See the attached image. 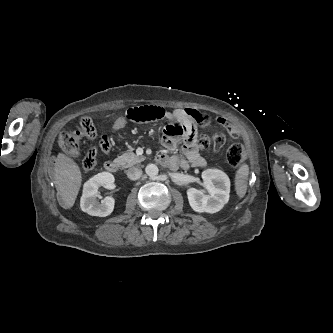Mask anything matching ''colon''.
I'll list each match as a JSON object with an SVG mask.
<instances>
[{
	"label": "colon",
	"mask_w": 333,
	"mask_h": 333,
	"mask_svg": "<svg viewBox=\"0 0 333 333\" xmlns=\"http://www.w3.org/2000/svg\"><path fill=\"white\" fill-rule=\"evenodd\" d=\"M166 116V112L159 106H132L123 112V119L126 122H149L162 119ZM194 132V129H191ZM174 133L181 134L180 127H175L171 130ZM82 136L93 139L97 136L96 126L93 121L88 117L81 118L78 128L71 132H62L59 135V144L62 149L72 155H76L79 150V141ZM195 140L198 145L204 149L218 150L226 140L223 132H215L211 137L206 134L200 133L195 135ZM100 149L103 152H108L111 146L110 139L106 135H102L99 140ZM226 158L229 165L237 168L244 160V150L239 143L231 144L226 153ZM84 168L87 171H92L96 165V148H91L86 153L83 160Z\"/></svg>",
	"instance_id": "obj_1"
}]
</instances>
